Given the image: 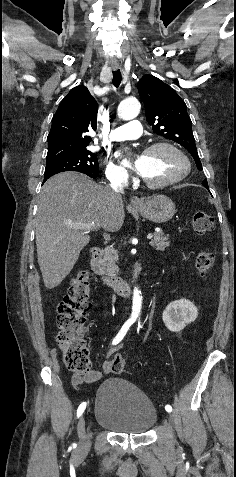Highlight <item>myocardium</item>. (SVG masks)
<instances>
[{"instance_id":"obj_1","label":"myocardium","mask_w":236,"mask_h":477,"mask_svg":"<svg viewBox=\"0 0 236 477\" xmlns=\"http://www.w3.org/2000/svg\"><path fill=\"white\" fill-rule=\"evenodd\" d=\"M160 148H169L173 152H175L183 161H184V169L181 173H179L177 176L168 179L163 182H151L143 178L142 176L140 177L141 182L147 186L148 188L151 189H162L166 188L169 186H172L174 184H177L181 182L184 178L187 177V175L190 173L191 170V162L188 158V156L174 143L168 142V141H159L155 142L149 146H147L143 152V154L152 152L154 150L160 149Z\"/></svg>"}]
</instances>
